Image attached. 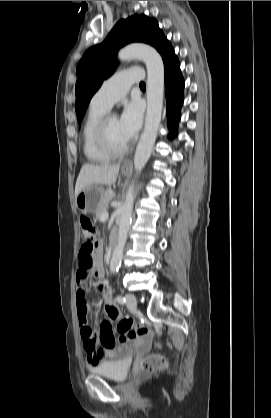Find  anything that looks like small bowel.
<instances>
[{
	"label": "small bowel",
	"mask_w": 271,
	"mask_h": 418,
	"mask_svg": "<svg viewBox=\"0 0 271 418\" xmlns=\"http://www.w3.org/2000/svg\"><path fill=\"white\" fill-rule=\"evenodd\" d=\"M105 262L102 260L101 245L93 242L86 243L76 251V307L80 326V336L86 353L87 362L96 366L108 359L118 357L123 351H129V343L135 338L116 343L113 335L112 323L120 319V312L111 298V291L103 281ZM91 276L101 281L99 285L102 295L105 297L106 318L101 321L95 331L88 323L87 314L96 305L94 301L87 299V285L91 283ZM120 322V321H119ZM122 334V333H121ZM123 336V334H122ZM138 343L142 340H138Z\"/></svg>",
	"instance_id": "1"
}]
</instances>
